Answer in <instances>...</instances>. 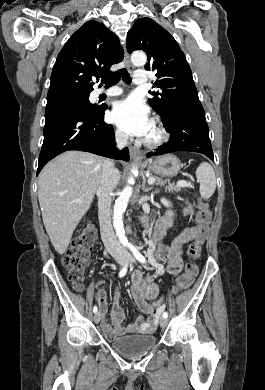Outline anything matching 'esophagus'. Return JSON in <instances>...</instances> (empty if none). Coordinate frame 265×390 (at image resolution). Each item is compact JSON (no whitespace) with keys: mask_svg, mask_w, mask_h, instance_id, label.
Returning <instances> with one entry per match:
<instances>
[{"mask_svg":"<svg viewBox=\"0 0 265 390\" xmlns=\"http://www.w3.org/2000/svg\"><path fill=\"white\" fill-rule=\"evenodd\" d=\"M124 63L126 65L127 69L130 72H132L134 68H133V66H132V64L130 62V57H129V54H128L126 49H125V54H124ZM129 150H130V156H131L132 159H138L139 158L140 150L138 148H136L134 146H131Z\"/></svg>","mask_w":265,"mask_h":390,"instance_id":"1","label":"esophagus"}]
</instances>
